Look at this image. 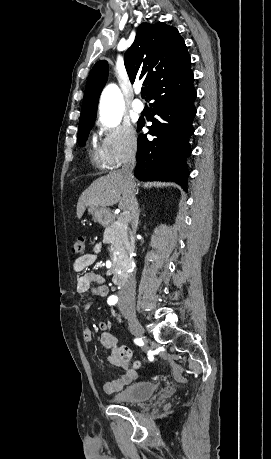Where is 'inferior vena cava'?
Segmentation results:
<instances>
[{"instance_id":"obj_1","label":"inferior vena cava","mask_w":271,"mask_h":459,"mask_svg":"<svg viewBox=\"0 0 271 459\" xmlns=\"http://www.w3.org/2000/svg\"><path fill=\"white\" fill-rule=\"evenodd\" d=\"M136 160L135 158H132V160H128L127 164H124L122 166V174H125V176H128L130 180H133L134 176L132 174L134 168H135ZM132 188H135L134 184H131ZM129 220L132 222V226H136L138 224L139 220V210H138V204L133 196V200L131 202V208H130V214H128ZM135 279H129V281H126L125 285H122L120 289V295L121 299H135Z\"/></svg>"}]
</instances>
